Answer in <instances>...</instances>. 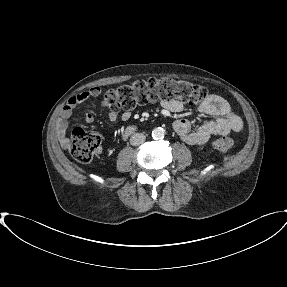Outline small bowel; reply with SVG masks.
I'll list each match as a JSON object with an SVG mask.
<instances>
[{"mask_svg": "<svg viewBox=\"0 0 287 287\" xmlns=\"http://www.w3.org/2000/svg\"><path fill=\"white\" fill-rule=\"evenodd\" d=\"M100 93V88L93 87L90 90L71 97L63 107L56 123L57 137L63 146H67L69 143L66 132L68 129V119L71 117L73 110L90 97L99 96ZM162 106L171 112H179L183 109V105L176 100L163 101ZM199 110L213 116L214 119L205 122L196 130L191 129V124L187 119H178L174 122L175 132L181 140L189 145L201 146L213 136L239 132L243 128L242 119L233 112L229 103L220 96L211 95L205 103L200 105ZM130 116L131 112L129 110H124L120 114L112 110L108 114V119L110 122H116L119 117L123 120H128ZM84 121L86 123H92L94 116L91 113H86L84 115Z\"/></svg>", "mask_w": 287, "mask_h": 287, "instance_id": "obj_1", "label": "small bowel"}]
</instances>
